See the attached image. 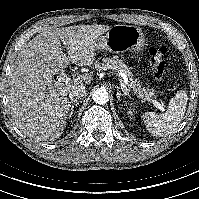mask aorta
Here are the masks:
<instances>
[{
	"instance_id": "1",
	"label": "aorta",
	"mask_w": 199,
	"mask_h": 199,
	"mask_svg": "<svg viewBox=\"0 0 199 199\" xmlns=\"http://www.w3.org/2000/svg\"><path fill=\"white\" fill-rule=\"evenodd\" d=\"M92 97H93V101L99 105L106 104L109 100V94L103 88H99L95 90Z\"/></svg>"
}]
</instances>
